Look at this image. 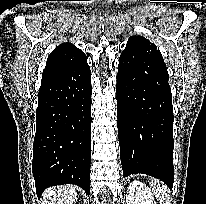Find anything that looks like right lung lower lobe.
<instances>
[{
  "label": "right lung lower lobe",
  "instance_id": "obj_1",
  "mask_svg": "<svg viewBox=\"0 0 206 204\" xmlns=\"http://www.w3.org/2000/svg\"><path fill=\"white\" fill-rule=\"evenodd\" d=\"M91 94L87 59L42 77L32 163L38 196L62 184L78 185L89 194Z\"/></svg>",
  "mask_w": 206,
  "mask_h": 204
}]
</instances>
